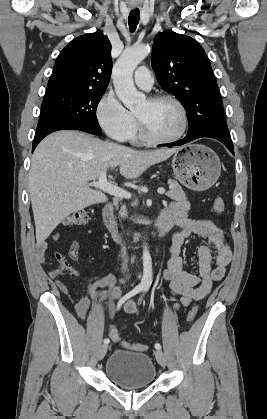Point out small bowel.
I'll return each mask as SVG.
<instances>
[{
    "label": "small bowel",
    "mask_w": 267,
    "mask_h": 419,
    "mask_svg": "<svg viewBox=\"0 0 267 419\" xmlns=\"http://www.w3.org/2000/svg\"><path fill=\"white\" fill-rule=\"evenodd\" d=\"M190 204L187 201L173 202L164 212L163 216L169 218L173 225L180 227L172 239L170 248L171 257L168 260L167 268L162 271L161 278L169 282V291L173 296L180 297L179 307L188 306L193 300L205 298L212 290L214 282L220 281L226 273V267L231 261L232 253L226 243L224 232L216 224L209 220H195L188 216ZM197 235L204 239L203 244L197 248L199 270L197 274L190 273L183 268L181 250L185 241ZM46 243H39L36 246L35 255L40 263H46ZM212 252L215 253V266L212 267ZM79 253V241L75 240L69 249L71 257H77ZM48 274L56 279L58 289L69 296L66 284L58 279L61 273L57 269H50ZM74 276H78L74 273ZM123 280H118L114 275L99 278L90 283L81 292L75 304L77 316L85 320L87 318L91 299L96 301H107L104 310L105 315H110L113 310L112 300L120 294V286ZM108 287V291L102 289ZM124 310L127 313H137L138 310L132 301L125 304Z\"/></svg>",
    "instance_id": "c3829d8e"
}]
</instances>
